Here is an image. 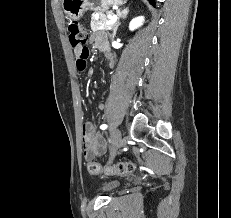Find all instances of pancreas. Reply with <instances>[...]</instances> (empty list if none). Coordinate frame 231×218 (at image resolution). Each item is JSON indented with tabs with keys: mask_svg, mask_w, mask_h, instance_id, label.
I'll list each match as a JSON object with an SVG mask.
<instances>
[{
	"mask_svg": "<svg viewBox=\"0 0 231 218\" xmlns=\"http://www.w3.org/2000/svg\"><path fill=\"white\" fill-rule=\"evenodd\" d=\"M109 14L112 15V12H109ZM108 21L107 14L104 13H99V19H96L94 15H92L91 18V29L93 31H98V30H111L115 27V23L112 25H104L105 22Z\"/></svg>",
	"mask_w": 231,
	"mask_h": 218,
	"instance_id": "pancreas-1",
	"label": "pancreas"
}]
</instances>
